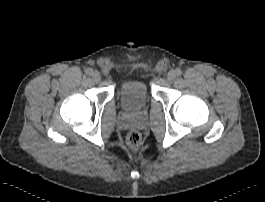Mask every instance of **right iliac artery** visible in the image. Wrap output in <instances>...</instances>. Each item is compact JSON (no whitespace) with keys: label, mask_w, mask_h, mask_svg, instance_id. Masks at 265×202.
<instances>
[{"label":"right iliac artery","mask_w":265,"mask_h":202,"mask_svg":"<svg viewBox=\"0 0 265 202\" xmlns=\"http://www.w3.org/2000/svg\"><path fill=\"white\" fill-rule=\"evenodd\" d=\"M92 72H93V70H92L91 68H87V69H85V73H86L87 75H91Z\"/></svg>","instance_id":"1"}]
</instances>
